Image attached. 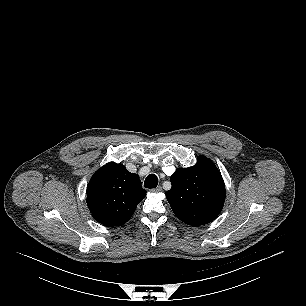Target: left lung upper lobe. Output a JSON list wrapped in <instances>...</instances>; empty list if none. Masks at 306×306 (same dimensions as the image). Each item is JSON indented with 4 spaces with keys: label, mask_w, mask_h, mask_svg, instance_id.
<instances>
[{
    "label": "left lung upper lobe",
    "mask_w": 306,
    "mask_h": 306,
    "mask_svg": "<svg viewBox=\"0 0 306 306\" xmlns=\"http://www.w3.org/2000/svg\"><path fill=\"white\" fill-rule=\"evenodd\" d=\"M166 198L174 214L184 223L199 226L213 221L222 210L225 185L219 170L200 156L193 167L177 169L170 178Z\"/></svg>",
    "instance_id": "left-lung-upper-lobe-1"
}]
</instances>
